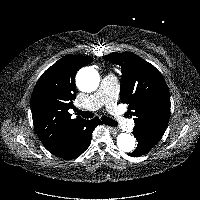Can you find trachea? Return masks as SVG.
<instances>
[{"label":"trachea","instance_id":"1","mask_svg":"<svg viewBox=\"0 0 200 200\" xmlns=\"http://www.w3.org/2000/svg\"><path fill=\"white\" fill-rule=\"evenodd\" d=\"M75 112H77V114H79L82 117L87 118V119L93 118V116H94V114L89 111H81V110L75 109ZM102 121L108 126H116L117 125V122L115 120H112L105 116L102 117Z\"/></svg>","mask_w":200,"mask_h":200}]
</instances>
